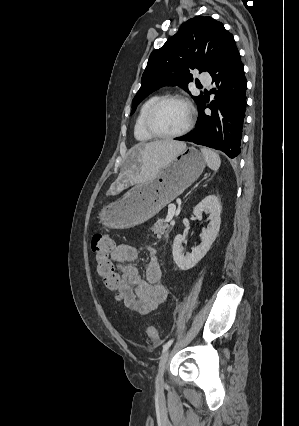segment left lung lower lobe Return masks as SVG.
Masks as SVG:
<instances>
[{"label":"left lung lower lobe","mask_w":299,"mask_h":426,"mask_svg":"<svg viewBox=\"0 0 299 426\" xmlns=\"http://www.w3.org/2000/svg\"><path fill=\"white\" fill-rule=\"evenodd\" d=\"M214 99L206 115V98L200 102L197 126L191 133L175 138L207 146L226 153L230 158L240 154L246 111L247 81L238 49L231 52L211 73Z\"/></svg>","instance_id":"left-lung-lower-lobe-1"}]
</instances>
